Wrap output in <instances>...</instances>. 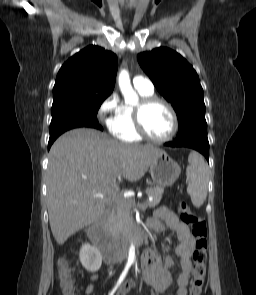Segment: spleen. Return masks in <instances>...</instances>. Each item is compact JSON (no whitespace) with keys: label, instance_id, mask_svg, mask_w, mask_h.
I'll return each instance as SVG.
<instances>
[{"label":"spleen","instance_id":"1","mask_svg":"<svg viewBox=\"0 0 256 295\" xmlns=\"http://www.w3.org/2000/svg\"><path fill=\"white\" fill-rule=\"evenodd\" d=\"M188 162L189 166L186 169L187 193L190 195L193 205L199 208L207 197L209 169L204 158L198 152H191Z\"/></svg>","mask_w":256,"mask_h":295}]
</instances>
